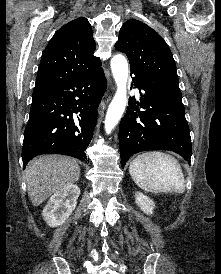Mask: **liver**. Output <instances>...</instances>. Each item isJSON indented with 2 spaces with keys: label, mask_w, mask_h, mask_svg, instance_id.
<instances>
[{
  "label": "liver",
  "mask_w": 221,
  "mask_h": 274,
  "mask_svg": "<svg viewBox=\"0 0 221 274\" xmlns=\"http://www.w3.org/2000/svg\"><path fill=\"white\" fill-rule=\"evenodd\" d=\"M80 167L69 157L45 155L32 160L25 169L28 196L34 206H39L53 193L75 183Z\"/></svg>",
  "instance_id": "liver-1"
}]
</instances>
